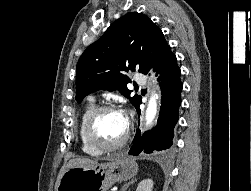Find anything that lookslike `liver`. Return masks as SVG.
Wrapping results in <instances>:
<instances>
[{"label":"liver","mask_w":251,"mask_h":191,"mask_svg":"<svg viewBox=\"0 0 251 191\" xmlns=\"http://www.w3.org/2000/svg\"><path fill=\"white\" fill-rule=\"evenodd\" d=\"M96 165H98L97 159H95L94 161V159H89V157H76V159H69L68 163H64V165H62L58 173V177L55 183V191H57V187L63 173H65V171H68L70 167H87V169H94Z\"/></svg>","instance_id":"obj_1"}]
</instances>
